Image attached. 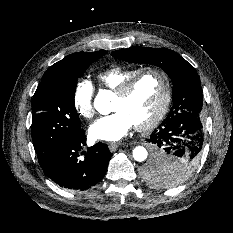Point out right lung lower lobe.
Masks as SVG:
<instances>
[{"instance_id":"98d812e1","label":"right lung lower lobe","mask_w":233,"mask_h":233,"mask_svg":"<svg viewBox=\"0 0 233 233\" xmlns=\"http://www.w3.org/2000/svg\"><path fill=\"white\" fill-rule=\"evenodd\" d=\"M86 145L85 132L81 130L66 142L57 155L41 167L46 176L59 186L73 190H87L96 185L105 175L112 156L106 144L101 142L82 152Z\"/></svg>"}]
</instances>
